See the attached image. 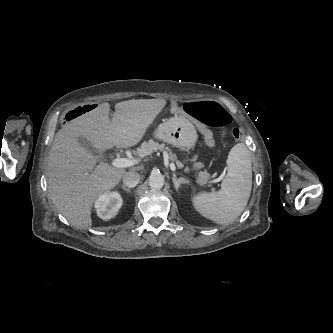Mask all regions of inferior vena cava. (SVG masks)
Instances as JSON below:
<instances>
[{
    "label": "inferior vena cava",
    "instance_id": "obj_1",
    "mask_svg": "<svg viewBox=\"0 0 333 333\" xmlns=\"http://www.w3.org/2000/svg\"><path fill=\"white\" fill-rule=\"evenodd\" d=\"M140 181V175L136 171H128L123 176V183L129 188L135 187Z\"/></svg>",
    "mask_w": 333,
    "mask_h": 333
}]
</instances>
